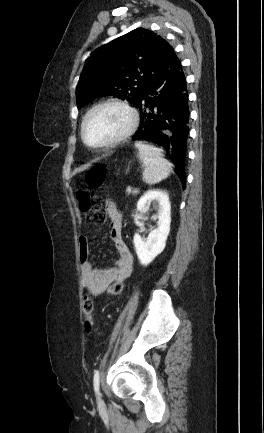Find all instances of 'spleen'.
<instances>
[{"instance_id":"obj_1","label":"spleen","mask_w":264,"mask_h":433,"mask_svg":"<svg viewBox=\"0 0 264 433\" xmlns=\"http://www.w3.org/2000/svg\"><path fill=\"white\" fill-rule=\"evenodd\" d=\"M139 151V158L144 164L143 180L149 185L159 183L166 179L171 171L172 164L163 157L162 150L143 142H135Z\"/></svg>"}]
</instances>
